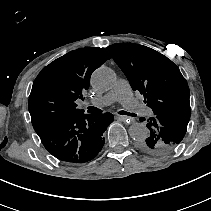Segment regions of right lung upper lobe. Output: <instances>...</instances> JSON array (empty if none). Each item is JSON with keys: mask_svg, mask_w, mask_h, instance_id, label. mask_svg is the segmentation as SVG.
I'll return each mask as SVG.
<instances>
[{"mask_svg": "<svg viewBox=\"0 0 211 211\" xmlns=\"http://www.w3.org/2000/svg\"><path fill=\"white\" fill-rule=\"evenodd\" d=\"M110 54L104 48L86 47L54 60L36 77L29 96V112L35 131L83 113L76 100L89 88L92 72Z\"/></svg>", "mask_w": 211, "mask_h": 211, "instance_id": "cb5924a9", "label": "right lung upper lobe"}]
</instances>
